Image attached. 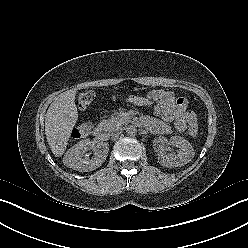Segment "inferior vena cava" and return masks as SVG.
Segmentation results:
<instances>
[{
  "label": "inferior vena cava",
  "instance_id": "inferior-vena-cava-1",
  "mask_svg": "<svg viewBox=\"0 0 248 248\" xmlns=\"http://www.w3.org/2000/svg\"><path fill=\"white\" fill-rule=\"evenodd\" d=\"M122 128L121 127H117V128H113L111 131H110V135L112 136H118L121 134L122 132Z\"/></svg>",
  "mask_w": 248,
  "mask_h": 248
}]
</instances>
